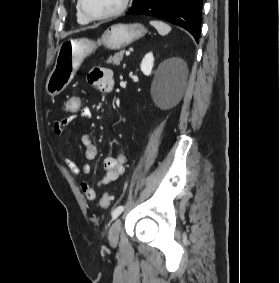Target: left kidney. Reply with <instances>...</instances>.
<instances>
[{"mask_svg": "<svg viewBox=\"0 0 280 283\" xmlns=\"http://www.w3.org/2000/svg\"><path fill=\"white\" fill-rule=\"evenodd\" d=\"M176 62L182 64L181 60H176ZM153 66H154V56L152 52H149L144 56L140 64V69L144 75L149 76L152 72Z\"/></svg>", "mask_w": 280, "mask_h": 283, "instance_id": "obj_1", "label": "left kidney"}]
</instances>
